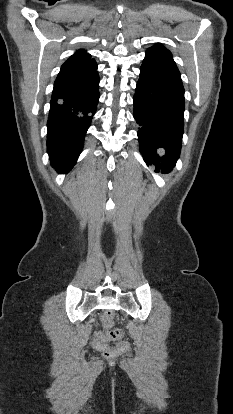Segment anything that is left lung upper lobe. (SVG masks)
<instances>
[{
    "label": "left lung upper lobe",
    "mask_w": 233,
    "mask_h": 414,
    "mask_svg": "<svg viewBox=\"0 0 233 414\" xmlns=\"http://www.w3.org/2000/svg\"><path fill=\"white\" fill-rule=\"evenodd\" d=\"M148 50L156 51V52L162 53V54L167 55V56H170V57L172 56L171 55V52L169 50H167L161 44L154 45V46L150 47Z\"/></svg>",
    "instance_id": "left-lung-upper-lobe-1"
}]
</instances>
